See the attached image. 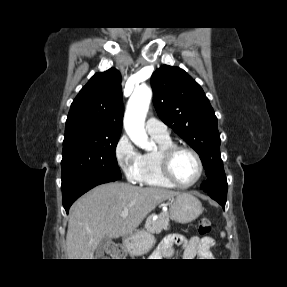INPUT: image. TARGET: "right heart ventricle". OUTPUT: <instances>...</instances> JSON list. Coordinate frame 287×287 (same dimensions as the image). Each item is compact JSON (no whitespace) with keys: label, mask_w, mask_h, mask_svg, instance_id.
Here are the masks:
<instances>
[{"label":"right heart ventricle","mask_w":287,"mask_h":287,"mask_svg":"<svg viewBox=\"0 0 287 287\" xmlns=\"http://www.w3.org/2000/svg\"><path fill=\"white\" fill-rule=\"evenodd\" d=\"M153 139L158 144L156 150L146 152L141 155V169L139 183L148 186L172 188L175 185L165 178L161 170L159 162V152L161 149L173 145L170 137L160 138L154 137Z\"/></svg>","instance_id":"right-heart-ventricle-1"}]
</instances>
